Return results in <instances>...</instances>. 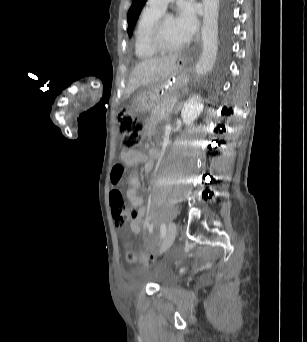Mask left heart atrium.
I'll list each match as a JSON object with an SVG mask.
<instances>
[{"instance_id": "obj_1", "label": "left heart atrium", "mask_w": 307, "mask_h": 342, "mask_svg": "<svg viewBox=\"0 0 307 342\" xmlns=\"http://www.w3.org/2000/svg\"><path fill=\"white\" fill-rule=\"evenodd\" d=\"M176 30L184 43L190 42L197 33L198 21L191 7L185 8L175 21Z\"/></svg>"}]
</instances>
